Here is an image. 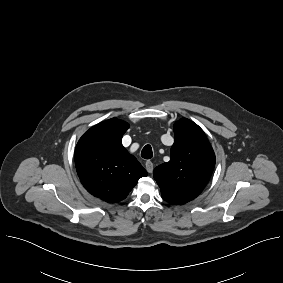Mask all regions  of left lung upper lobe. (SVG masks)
<instances>
[{
  "label": "left lung upper lobe",
  "instance_id": "obj_1",
  "mask_svg": "<svg viewBox=\"0 0 283 283\" xmlns=\"http://www.w3.org/2000/svg\"><path fill=\"white\" fill-rule=\"evenodd\" d=\"M174 137L170 161L157 166L153 176L165 201L184 204L202 192L216 159L205 133L191 120L176 122Z\"/></svg>",
  "mask_w": 283,
  "mask_h": 283
}]
</instances>
